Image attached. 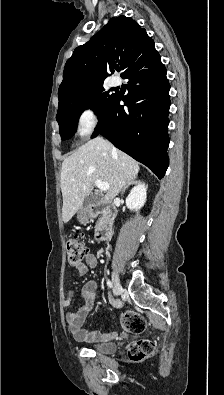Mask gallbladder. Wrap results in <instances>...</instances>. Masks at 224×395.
I'll return each instance as SVG.
<instances>
[{
    "instance_id": "obj_1",
    "label": "gallbladder",
    "mask_w": 224,
    "mask_h": 395,
    "mask_svg": "<svg viewBox=\"0 0 224 395\" xmlns=\"http://www.w3.org/2000/svg\"><path fill=\"white\" fill-rule=\"evenodd\" d=\"M100 197L95 194L88 195L83 202L82 208H87L88 206L95 205L99 202Z\"/></svg>"
}]
</instances>
